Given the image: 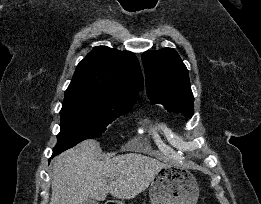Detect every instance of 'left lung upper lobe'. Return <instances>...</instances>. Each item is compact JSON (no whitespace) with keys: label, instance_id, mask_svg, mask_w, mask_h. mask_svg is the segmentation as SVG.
Listing matches in <instances>:
<instances>
[{"label":"left lung upper lobe","instance_id":"1","mask_svg":"<svg viewBox=\"0 0 261 204\" xmlns=\"http://www.w3.org/2000/svg\"><path fill=\"white\" fill-rule=\"evenodd\" d=\"M148 98L162 104L169 112L193 116V94L188 70L172 48L142 54Z\"/></svg>","mask_w":261,"mask_h":204}]
</instances>
